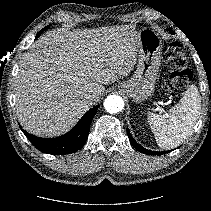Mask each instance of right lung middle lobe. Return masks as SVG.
I'll return each mask as SVG.
<instances>
[{"label": "right lung middle lobe", "instance_id": "dd1d6c3e", "mask_svg": "<svg viewBox=\"0 0 211 211\" xmlns=\"http://www.w3.org/2000/svg\"><path fill=\"white\" fill-rule=\"evenodd\" d=\"M46 28H47V27H46ZM43 30H44V29H42V31H43ZM42 31H40V32L37 34V36L40 35V34L42 33ZM37 36H36V37H37Z\"/></svg>", "mask_w": 211, "mask_h": 211}]
</instances>
